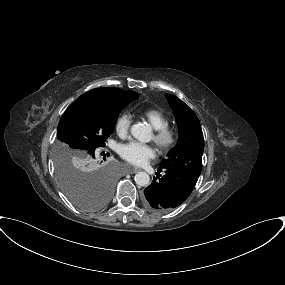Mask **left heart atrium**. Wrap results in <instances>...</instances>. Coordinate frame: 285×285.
Listing matches in <instances>:
<instances>
[{
  "mask_svg": "<svg viewBox=\"0 0 285 285\" xmlns=\"http://www.w3.org/2000/svg\"><path fill=\"white\" fill-rule=\"evenodd\" d=\"M120 154L127 162L135 166H143L155 157V149L148 144L131 142L122 146Z\"/></svg>",
  "mask_w": 285,
  "mask_h": 285,
  "instance_id": "obj_1",
  "label": "left heart atrium"
}]
</instances>
